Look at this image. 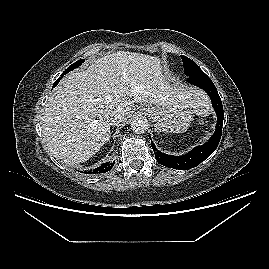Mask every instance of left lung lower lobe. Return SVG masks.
<instances>
[{"instance_id": "1", "label": "left lung lower lobe", "mask_w": 269, "mask_h": 269, "mask_svg": "<svg viewBox=\"0 0 269 269\" xmlns=\"http://www.w3.org/2000/svg\"><path fill=\"white\" fill-rule=\"evenodd\" d=\"M187 81L193 85L200 87L209 95L212 101V106L217 114V124L214 134L211 136L207 143L195 147L183 156H171L164 154L158 151L151 141L155 158L160 164L166 167L181 170L191 169L198 166L216 150L222 134L224 117L223 106L217 89L212 80L205 73L189 77Z\"/></svg>"}]
</instances>
